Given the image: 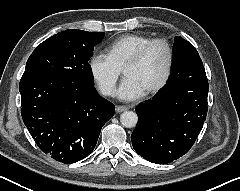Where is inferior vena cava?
<instances>
[{
  "instance_id": "602c4592",
  "label": "inferior vena cava",
  "mask_w": 240,
  "mask_h": 191,
  "mask_svg": "<svg viewBox=\"0 0 240 191\" xmlns=\"http://www.w3.org/2000/svg\"><path fill=\"white\" fill-rule=\"evenodd\" d=\"M105 94L113 95V90H108V91L105 92Z\"/></svg>"
}]
</instances>
